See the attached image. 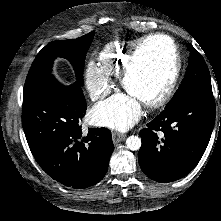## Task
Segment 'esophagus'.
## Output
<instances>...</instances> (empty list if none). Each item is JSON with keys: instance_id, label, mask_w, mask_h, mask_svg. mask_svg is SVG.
Here are the masks:
<instances>
[{"instance_id": "esophagus-1", "label": "esophagus", "mask_w": 221, "mask_h": 221, "mask_svg": "<svg viewBox=\"0 0 221 221\" xmlns=\"http://www.w3.org/2000/svg\"><path fill=\"white\" fill-rule=\"evenodd\" d=\"M112 138H113V143L118 144L119 142H121L125 139V135H123L122 133H118L116 131H113Z\"/></svg>"}]
</instances>
